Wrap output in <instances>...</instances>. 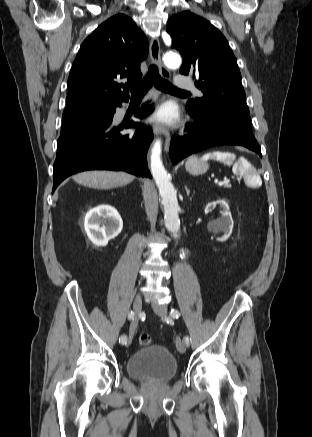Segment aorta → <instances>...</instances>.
Here are the masks:
<instances>
[{"mask_svg":"<svg viewBox=\"0 0 312 437\" xmlns=\"http://www.w3.org/2000/svg\"><path fill=\"white\" fill-rule=\"evenodd\" d=\"M164 63L169 68H177L181 64V58L178 54L168 53L164 56ZM150 169L162 199L165 227L174 237H178L180 232L179 205L176 191L161 160L160 140H157L153 145L150 156Z\"/></svg>","mask_w":312,"mask_h":437,"instance_id":"aorta-1","label":"aorta"}]
</instances>
